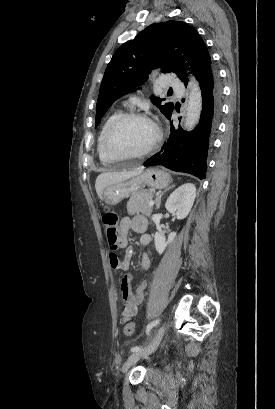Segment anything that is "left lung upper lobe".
Masks as SVG:
<instances>
[{
    "label": "left lung upper lobe",
    "instance_id": "1",
    "mask_svg": "<svg viewBox=\"0 0 275 409\" xmlns=\"http://www.w3.org/2000/svg\"><path fill=\"white\" fill-rule=\"evenodd\" d=\"M210 64L204 41L190 25L182 21L149 25L135 39L124 43L107 65L97 100L95 125L115 100L148 80L149 69L160 67L163 73H175L186 85V66H191L197 77ZM151 100L166 117L172 112L173 103L161 105L164 99L154 96Z\"/></svg>",
    "mask_w": 275,
    "mask_h": 409
}]
</instances>
